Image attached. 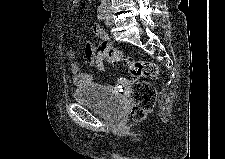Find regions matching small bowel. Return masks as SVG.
<instances>
[{"label":"small bowel","mask_w":225,"mask_h":159,"mask_svg":"<svg viewBox=\"0 0 225 159\" xmlns=\"http://www.w3.org/2000/svg\"><path fill=\"white\" fill-rule=\"evenodd\" d=\"M93 32L94 35L101 41L99 47L106 46L113 48L112 42L110 41L109 36L104 29L97 26L94 28ZM84 54L91 65L95 66L100 71L105 70V67L102 62L103 59L99 57L98 49H96V46L93 43L89 42L86 45ZM75 56L76 53L74 50L71 49L67 52V58L71 61L69 65V70L73 74V83L77 87H82L84 85L91 83L94 79V75L91 73L80 72L79 64L74 60ZM120 82L122 84L127 83V81L124 79L121 80Z\"/></svg>","instance_id":"small-bowel-1"}]
</instances>
